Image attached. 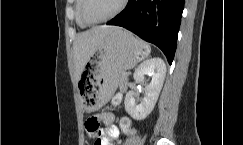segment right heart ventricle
<instances>
[{
    "label": "right heart ventricle",
    "instance_id": "1",
    "mask_svg": "<svg viewBox=\"0 0 243 145\" xmlns=\"http://www.w3.org/2000/svg\"><path fill=\"white\" fill-rule=\"evenodd\" d=\"M81 2L82 0H76L75 2V18H76V23L78 24L79 27L86 28L88 27V25L82 20L80 14Z\"/></svg>",
    "mask_w": 243,
    "mask_h": 145
}]
</instances>
